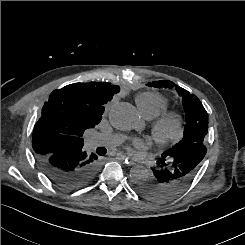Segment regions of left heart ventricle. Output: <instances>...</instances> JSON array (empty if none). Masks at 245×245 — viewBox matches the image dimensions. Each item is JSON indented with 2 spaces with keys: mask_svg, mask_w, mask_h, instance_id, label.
Returning <instances> with one entry per match:
<instances>
[{
  "mask_svg": "<svg viewBox=\"0 0 245 245\" xmlns=\"http://www.w3.org/2000/svg\"><path fill=\"white\" fill-rule=\"evenodd\" d=\"M173 130V128L170 126L169 128H168V132H171Z\"/></svg>",
  "mask_w": 245,
  "mask_h": 245,
  "instance_id": "left-heart-ventricle-1",
  "label": "left heart ventricle"
}]
</instances>
